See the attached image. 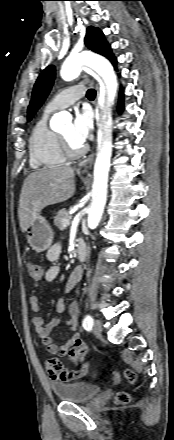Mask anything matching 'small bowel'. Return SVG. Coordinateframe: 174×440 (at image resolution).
Returning a JSON list of instances; mask_svg holds the SVG:
<instances>
[{
    "mask_svg": "<svg viewBox=\"0 0 174 440\" xmlns=\"http://www.w3.org/2000/svg\"><path fill=\"white\" fill-rule=\"evenodd\" d=\"M62 252L61 243L52 245L47 252V260L51 265L45 270L43 279L47 282L54 281L59 273L60 266L57 261ZM82 279V269L77 267L70 274L67 284L66 293L76 294L78 287ZM40 282H35L33 285L32 295L30 297V307L35 313L40 312L41 305L37 296L38 287ZM66 311L65 298H61L56 302L55 315L52 317L49 323H45L42 316L37 315L32 319L35 331L43 345L47 347V351L50 354L57 356H67L71 363L77 367L76 370L65 369L61 362L57 358L49 359L46 362V369L49 377L56 382L68 383L73 382L76 378L83 374V362L86 355L89 353V348L86 342L79 334H73L66 339L63 343H54L51 332L59 325L60 316ZM80 311V305L77 299H74L69 306L70 318L65 322L66 326L70 329H74L76 326L77 318Z\"/></svg>",
    "mask_w": 174,
    "mask_h": 440,
    "instance_id": "small-bowel-1",
    "label": "small bowel"
}]
</instances>
